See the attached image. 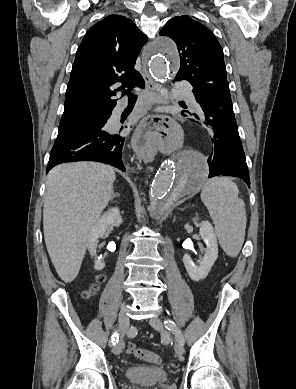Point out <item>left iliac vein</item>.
Here are the masks:
<instances>
[{
    "label": "left iliac vein",
    "instance_id": "4c4485c4",
    "mask_svg": "<svg viewBox=\"0 0 296 389\" xmlns=\"http://www.w3.org/2000/svg\"><path fill=\"white\" fill-rule=\"evenodd\" d=\"M150 325L155 328V329H158V330H161L163 333H165V329L163 327V323L161 321V319L159 317H153L150 319ZM174 346H175V352L178 356H182L183 353H184V345L183 343L176 339L175 340V343H174Z\"/></svg>",
    "mask_w": 296,
    "mask_h": 389
}]
</instances>
